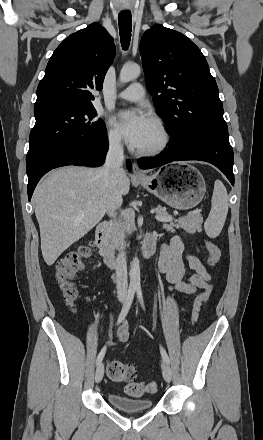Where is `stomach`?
I'll return each mask as SVG.
<instances>
[{
    "instance_id": "0dacf381",
    "label": "stomach",
    "mask_w": 263,
    "mask_h": 440,
    "mask_svg": "<svg viewBox=\"0 0 263 440\" xmlns=\"http://www.w3.org/2000/svg\"><path fill=\"white\" fill-rule=\"evenodd\" d=\"M171 168L177 171L172 174L165 169L139 182L148 192L175 209L187 210L197 206L206 192L201 173L192 166L186 169L178 166Z\"/></svg>"
}]
</instances>
